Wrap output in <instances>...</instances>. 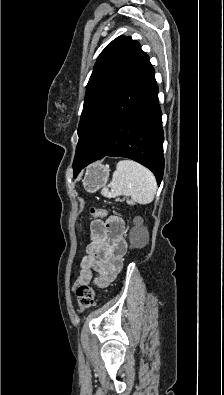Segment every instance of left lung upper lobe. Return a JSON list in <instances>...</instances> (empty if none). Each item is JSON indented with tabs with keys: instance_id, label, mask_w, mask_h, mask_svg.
<instances>
[{
	"instance_id": "obj_1",
	"label": "left lung upper lobe",
	"mask_w": 224,
	"mask_h": 395,
	"mask_svg": "<svg viewBox=\"0 0 224 395\" xmlns=\"http://www.w3.org/2000/svg\"><path fill=\"white\" fill-rule=\"evenodd\" d=\"M148 60L149 57L142 51L140 44L131 37H117L101 52L87 84L73 166L86 151L101 111L137 75Z\"/></svg>"
}]
</instances>
